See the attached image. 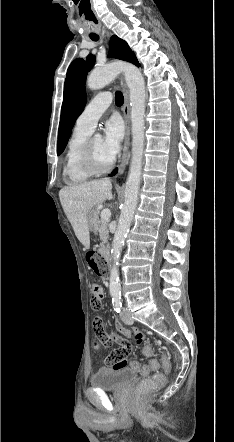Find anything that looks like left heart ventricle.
Here are the masks:
<instances>
[{"instance_id":"b2bd125f","label":"left heart ventricle","mask_w":234,"mask_h":442,"mask_svg":"<svg viewBox=\"0 0 234 442\" xmlns=\"http://www.w3.org/2000/svg\"><path fill=\"white\" fill-rule=\"evenodd\" d=\"M92 146L97 163L100 166L107 165L111 161V158L106 154L104 150L103 140L99 138L93 139Z\"/></svg>"}]
</instances>
